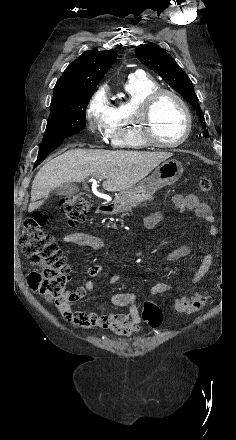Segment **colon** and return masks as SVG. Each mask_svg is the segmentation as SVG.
I'll return each mask as SVG.
<instances>
[{"label": "colon", "instance_id": "1", "mask_svg": "<svg viewBox=\"0 0 236 440\" xmlns=\"http://www.w3.org/2000/svg\"><path fill=\"white\" fill-rule=\"evenodd\" d=\"M199 187L203 192H209L212 181L209 177L200 178ZM90 208L89 195L82 192L63 198L60 210L73 226L82 224ZM47 216L34 213L24 222L20 236V246L28 262L37 267L28 274L27 282L31 290L43 296L54 304L64 318L73 321H88L72 319L70 316L71 298L66 291L70 266L60 250L54 237L43 228ZM210 298L205 293H195L190 297H182L175 301L174 311L178 314L190 315L203 309ZM142 319L151 327H158L163 321L160 308L151 301H145L142 306Z\"/></svg>", "mask_w": 236, "mask_h": 440}]
</instances>
